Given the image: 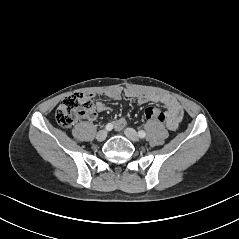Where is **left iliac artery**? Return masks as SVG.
<instances>
[{
    "label": "left iliac artery",
    "mask_w": 239,
    "mask_h": 239,
    "mask_svg": "<svg viewBox=\"0 0 239 239\" xmlns=\"http://www.w3.org/2000/svg\"><path fill=\"white\" fill-rule=\"evenodd\" d=\"M138 136L140 138H144L146 136V133L143 130H141V131L138 132Z\"/></svg>",
    "instance_id": "1"
}]
</instances>
